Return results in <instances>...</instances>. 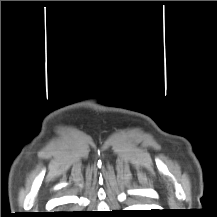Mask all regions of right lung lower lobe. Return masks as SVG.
<instances>
[{"label":"right lung lower lobe","mask_w":217,"mask_h":217,"mask_svg":"<svg viewBox=\"0 0 217 217\" xmlns=\"http://www.w3.org/2000/svg\"><path fill=\"white\" fill-rule=\"evenodd\" d=\"M58 217H74L75 215L71 214H64V215H57Z\"/></svg>","instance_id":"98d812e1"}]
</instances>
